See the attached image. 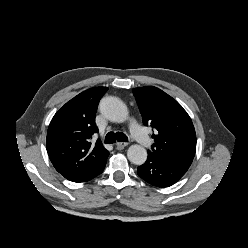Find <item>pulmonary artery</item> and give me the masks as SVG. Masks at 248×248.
Segmentation results:
<instances>
[{
  "label": "pulmonary artery",
  "instance_id": "obj_1",
  "mask_svg": "<svg viewBox=\"0 0 248 248\" xmlns=\"http://www.w3.org/2000/svg\"><path fill=\"white\" fill-rule=\"evenodd\" d=\"M130 130L133 137L140 143V145L143 147H149L151 145L150 138L135 121L131 123Z\"/></svg>",
  "mask_w": 248,
  "mask_h": 248
}]
</instances>
